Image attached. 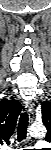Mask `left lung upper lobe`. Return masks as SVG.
Segmentation results:
<instances>
[{
  "mask_svg": "<svg viewBox=\"0 0 51 150\" xmlns=\"http://www.w3.org/2000/svg\"><path fill=\"white\" fill-rule=\"evenodd\" d=\"M42 109V121L47 127L46 140L50 141L51 139V102H43L41 104Z\"/></svg>",
  "mask_w": 51,
  "mask_h": 150,
  "instance_id": "5c2ea615",
  "label": "left lung upper lobe"
}]
</instances>
